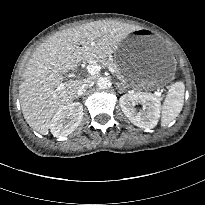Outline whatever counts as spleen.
<instances>
[{"label": "spleen", "instance_id": "spleen-1", "mask_svg": "<svg viewBox=\"0 0 205 205\" xmlns=\"http://www.w3.org/2000/svg\"><path fill=\"white\" fill-rule=\"evenodd\" d=\"M185 86L182 81L175 82L168 90L162 107L161 126L165 127L181 112L184 103Z\"/></svg>", "mask_w": 205, "mask_h": 205}]
</instances>
